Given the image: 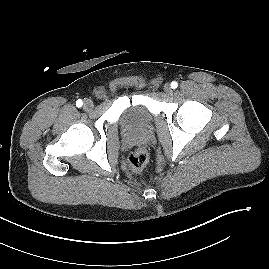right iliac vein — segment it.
Segmentation results:
<instances>
[{"mask_svg": "<svg viewBox=\"0 0 269 269\" xmlns=\"http://www.w3.org/2000/svg\"><path fill=\"white\" fill-rule=\"evenodd\" d=\"M93 106H94V104H93V101H92V100H90V99H86V100L84 101L83 108H84L85 110H91V109L93 108Z\"/></svg>", "mask_w": 269, "mask_h": 269, "instance_id": "right-iliac-vein-1", "label": "right iliac vein"}]
</instances>
